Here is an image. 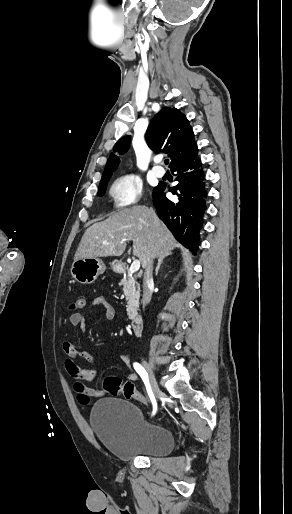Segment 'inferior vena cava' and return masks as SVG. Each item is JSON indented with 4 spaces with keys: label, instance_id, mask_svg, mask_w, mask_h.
<instances>
[{
    "label": "inferior vena cava",
    "instance_id": "obj_1",
    "mask_svg": "<svg viewBox=\"0 0 292 514\" xmlns=\"http://www.w3.org/2000/svg\"><path fill=\"white\" fill-rule=\"evenodd\" d=\"M152 270H153V260H150L147 264V268L145 270L144 274V288H143V300L144 304H149L151 300V290H150V284L153 282L152 278Z\"/></svg>",
    "mask_w": 292,
    "mask_h": 514
}]
</instances>
